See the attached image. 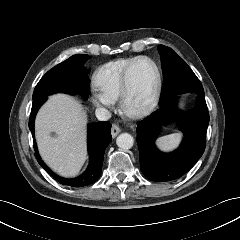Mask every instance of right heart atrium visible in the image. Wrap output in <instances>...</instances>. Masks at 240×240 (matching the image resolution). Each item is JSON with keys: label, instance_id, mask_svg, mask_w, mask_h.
Listing matches in <instances>:
<instances>
[{"label": "right heart atrium", "instance_id": "obj_1", "mask_svg": "<svg viewBox=\"0 0 240 240\" xmlns=\"http://www.w3.org/2000/svg\"><path fill=\"white\" fill-rule=\"evenodd\" d=\"M92 100L94 104L102 109H109L113 106L114 100L105 95L98 87L91 89Z\"/></svg>", "mask_w": 240, "mask_h": 240}]
</instances>
